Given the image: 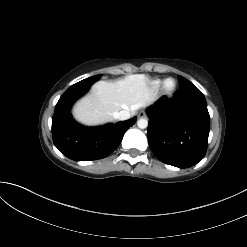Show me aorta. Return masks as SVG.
Returning a JSON list of instances; mask_svg holds the SVG:
<instances>
[{"label":"aorta","instance_id":"obj_1","mask_svg":"<svg viewBox=\"0 0 247 247\" xmlns=\"http://www.w3.org/2000/svg\"><path fill=\"white\" fill-rule=\"evenodd\" d=\"M137 126L140 129H145L148 126V121L145 118H141L137 121Z\"/></svg>","mask_w":247,"mask_h":247}]
</instances>
